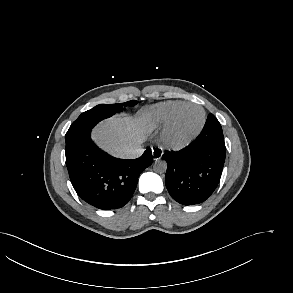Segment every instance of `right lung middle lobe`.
Returning a JSON list of instances; mask_svg holds the SVG:
<instances>
[{
  "mask_svg": "<svg viewBox=\"0 0 293 293\" xmlns=\"http://www.w3.org/2000/svg\"><path fill=\"white\" fill-rule=\"evenodd\" d=\"M137 101H128L118 104H100L94 108L82 113L76 121L72 123L65 137L70 136L72 133L83 129L85 127H94L98 122L103 119L109 118L117 112H121L123 107L135 106Z\"/></svg>",
  "mask_w": 293,
  "mask_h": 293,
  "instance_id": "obj_1",
  "label": "right lung middle lobe"
}]
</instances>
